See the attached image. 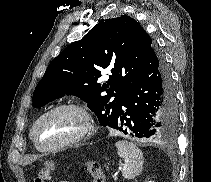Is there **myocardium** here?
<instances>
[{"label": "myocardium", "mask_w": 211, "mask_h": 182, "mask_svg": "<svg viewBox=\"0 0 211 182\" xmlns=\"http://www.w3.org/2000/svg\"><path fill=\"white\" fill-rule=\"evenodd\" d=\"M58 110H74V111L78 112L84 120L82 129L76 135H74L60 143L50 145V146L39 145L35 138V131H36L38 124L45 117H47L48 115H50L53 112H56ZM92 128H93V119H92L91 114L85 107H83L79 104H76V103H61V104H58V105L50 108L49 110L45 111L43 114H41L35 120V122L32 125V128L30 130V138L37 149H39L41 151H52V150H56V149H59V148L65 147V146H69V145H73V144L81 142L90 134Z\"/></svg>", "instance_id": "myocardium-1"}]
</instances>
